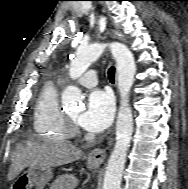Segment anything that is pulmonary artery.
<instances>
[{"mask_svg":"<svg viewBox=\"0 0 188 189\" xmlns=\"http://www.w3.org/2000/svg\"><path fill=\"white\" fill-rule=\"evenodd\" d=\"M65 83V81H62ZM76 83L84 87H94L98 83L97 73L95 71H89L76 80Z\"/></svg>","mask_w":188,"mask_h":189,"instance_id":"1","label":"pulmonary artery"}]
</instances>
